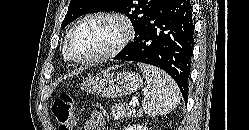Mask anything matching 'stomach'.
Here are the masks:
<instances>
[{
  "instance_id": "1",
  "label": "stomach",
  "mask_w": 249,
  "mask_h": 130,
  "mask_svg": "<svg viewBox=\"0 0 249 130\" xmlns=\"http://www.w3.org/2000/svg\"><path fill=\"white\" fill-rule=\"evenodd\" d=\"M143 85L140 74L132 71H104L86 79L81 89L106 98H118L138 91Z\"/></svg>"
}]
</instances>
